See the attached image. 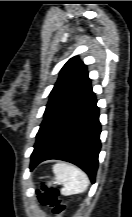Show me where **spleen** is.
<instances>
[{
	"label": "spleen",
	"mask_w": 132,
	"mask_h": 217,
	"mask_svg": "<svg viewBox=\"0 0 132 217\" xmlns=\"http://www.w3.org/2000/svg\"><path fill=\"white\" fill-rule=\"evenodd\" d=\"M53 173L55 175L54 182L62 184L61 193L64 196L79 194L84 192L88 185V176L78 167L64 162L56 163L53 166Z\"/></svg>",
	"instance_id": "3e777b00"
}]
</instances>
